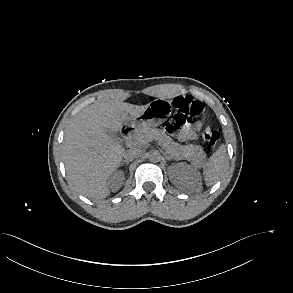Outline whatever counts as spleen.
Wrapping results in <instances>:
<instances>
[{
	"instance_id": "obj_1",
	"label": "spleen",
	"mask_w": 293,
	"mask_h": 293,
	"mask_svg": "<svg viewBox=\"0 0 293 293\" xmlns=\"http://www.w3.org/2000/svg\"><path fill=\"white\" fill-rule=\"evenodd\" d=\"M226 147L221 145L204 164L203 176L206 186L214 185L226 168Z\"/></svg>"
}]
</instances>
